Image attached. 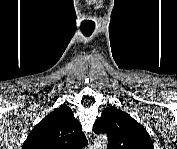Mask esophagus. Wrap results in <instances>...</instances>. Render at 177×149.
Masks as SVG:
<instances>
[{
	"mask_svg": "<svg viewBox=\"0 0 177 149\" xmlns=\"http://www.w3.org/2000/svg\"><path fill=\"white\" fill-rule=\"evenodd\" d=\"M89 148L92 149V145L91 144H89Z\"/></svg>",
	"mask_w": 177,
	"mask_h": 149,
	"instance_id": "obj_1",
	"label": "esophagus"
}]
</instances>
